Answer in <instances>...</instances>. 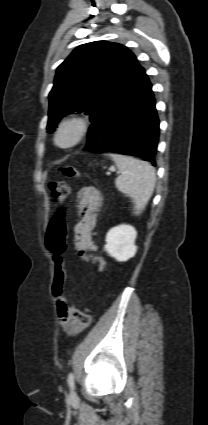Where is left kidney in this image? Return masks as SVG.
I'll list each match as a JSON object with an SVG mask.
<instances>
[{
	"instance_id": "1",
	"label": "left kidney",
	"mask_w": 208,
	"mask_h": 425,
	"mask_svg": "<svg viewBox=\"0 0 208 425\" xmlns=\"http://www.w3.org/2000/svg\"><path fill=\"white\" fill-rule=\"evenodd\" d=\"M136 237L137 232L130 225L121 224L113 227L106 235L105 250L117 261H127L134 257L137 252Z\"/></svg>"
}]
</instances>
